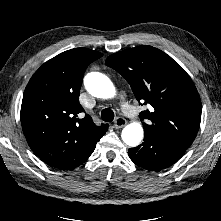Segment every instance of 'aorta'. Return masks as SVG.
Masks as SVG:
<instances>
[{
	"label": "aorta",
	"instance_id": "1",
	"mask_svg": "<svg viewBox=\"0 0 221 221\" xmlns=\"http://www.w3.org/2000/svg\"><path fill=\"white\" fill-rule=\"evenodd\" d=\"M84 86L91 95L97 98L109 99L116 94V89L111 80L100 72L88 73L84 78ZM143 134L142 125L133 122L123 128L121 137L125 144L135 147L141 142Z\"/></svg>",
	"mask_w": 221,
	"mask_h": 221
}]
</instances>
